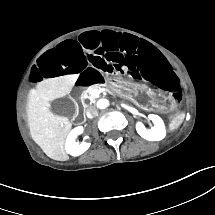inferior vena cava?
<instances>
[{
    "instance_id": "inferior-vena-cava-1",
    "label": "inferior vena cava",
    "mask_w": 215,
    "mask_h": 215,
    "mask_svg": "<svg viewBox=\"0 0 215 215\" xmlns=\"http://www.w3.org/2000/svg\"><path fill=\"white\" fill-rule=\"evenodd\" d=\"M85 113H86V116L88 118H93L95 116L98 115V111H97V108L93 105H90L88 106L86 109H85Z\"/></svg>"
}]
</instances>
